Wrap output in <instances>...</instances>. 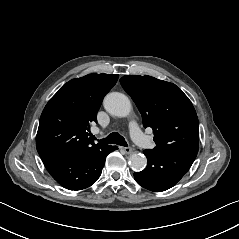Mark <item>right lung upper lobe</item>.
Returning a JSON list of instances; mask_svg holds the SVG:
<instances>
[{
    "label": "right lung upper lobe",
    "instance_id": "1",
    "mask_svg": "<svg viewBox=\"0 0 239 239\" xmlns=\"http://www.w3.org/2000/svg\"><path fill=\"white\" fill-rule=\"evenodd\" d=\"M118 75L89 74L67 82L50 99L39 121L36 147L41 158L85 152L95 144L88 136L90 123Z\"/></svg>",
    "mask_w": 239,
    "mask_h": 239
}]
</instances>
